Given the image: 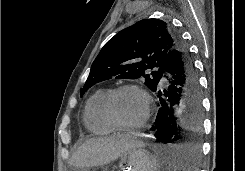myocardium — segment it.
Returning <instances> with one entry per match:
<instances>
[{
	"label": "myocardium",
	"mask_w": 245,
	"mask_h": 171,
	"mask_svg": "<svg viewBox=\"0 0 245 171\" xmlns=\"http://www.w3.org/2000/svg\"><path fill=\"white\" fill-rule=\"evenodd\" d=\"M125 90H135L138 91L145 99L146 110L143 119L134 125H127L120 122L115 116L112 108L113 99L117 94ZM101 110L105 119L116 129L121 131H137L146 126L151 115V97L146 89L142 86L134 83H126L119 85L113 89L108 90V92L103 97L101 103Z\"/></svg>",
	"instance_id": "obj_1"
}]
</instances>
